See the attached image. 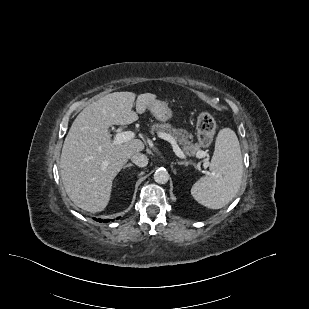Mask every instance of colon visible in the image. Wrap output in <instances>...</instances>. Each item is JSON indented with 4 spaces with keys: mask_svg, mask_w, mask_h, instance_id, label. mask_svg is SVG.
<instances>
[{
    "mask_svg": "<svg viewBox=\"0 0 309 309\" xmlns=\"http://www.w3.org/2000/svg\"><path fill=\"white\" fill-rule=\"evenodd\" d=\"M216 130L214 117L208 112H202L197 118V136L201 146H209Z\"/></svg>",
    "mask_w": 309,
    "mask_h": 309,
    "instance_id": "1",
    "label": "colon"
}]
</instances>
